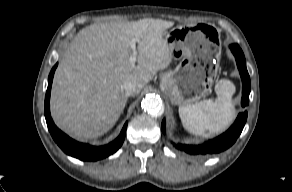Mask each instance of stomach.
<instances>
[{
  "label": "stomach",
  "mask_w": 292,
  "mask_h": 192,
  "mask_svg": "<svg viewBox=\"0 0 292 192\" xmlns=\"http://www.w3.org/2000/svg\"><path fill=\"white\" fill-rule=\"evenodd\" d=\"M164 39L180 61L162 76L160 88L175 105L194 104L215 82L221 56L220 32L210 24L177 26L165 32Z\"/></svg>",
  "instance_id": "0dacf381"
}]
</instances>
